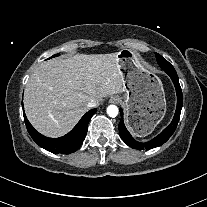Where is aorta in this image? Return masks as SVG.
Wrapping results in <instances>:
<instances>
[{"mask_svg": "<svg viewBox=\"0 0 207 207\" xmlns=\"http://www.w3.org/2000/svg\"><path fill=\"white\" fill-rule=\"evenodd\" d=\"M118 107L116 105H109L107 107V114L110 116V117H116L118 115Z\"/></svg>", "mask_w": 207, "mask_h": 207, "instance_id": "1", "label": "aorta"}]
</instances>
